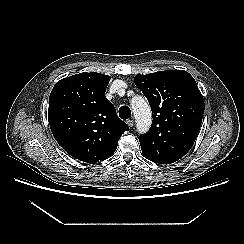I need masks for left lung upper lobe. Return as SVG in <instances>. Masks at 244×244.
<instances>
[{"mask_svg": "<svg viewBox=\"0 0 244 244\" xmlns=\"http://www.w3.org/2000/svg\"><path fill=\"white\" fill-rule=\"evenodd\" d=\"M153 113L150 130L139 137L142 154L152 162L171 164L194 144L204 113L203 96L194 78L184 70L136 75Z\"/></svg>", "mask_w": 244, "mask_h": 244, "instance_id": "left-lung-upper-lobe-1", "label": "left lung upper lobe"}]
</instances>
